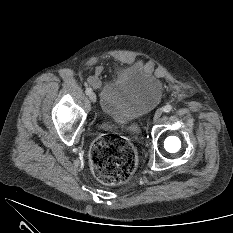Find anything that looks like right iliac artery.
<instances>
[{
    "label": "right iliac artery",
    "mask_w": 233,
    "mask_h": 233,
    "mask_svg": "<svg viewBox=\"0 0 233 233\" xmlns=\"http://www.w3.org/2000/svg\"><path fill=\"white\" fill-rule=\"evenodd\" d=\"M85 92H86L87 95H90L92 93V89L91 88H86Z\"/></svg>",
    "instance_id": "obj_1"
}]
</instances>
